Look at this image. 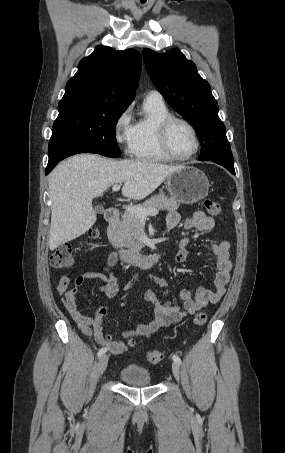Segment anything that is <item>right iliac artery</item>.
<instances>
[{
    "instance_id": "1",
    "label": "right iliac artery",
    "mask_w": 285,
    "mask_h": 453,
    "mask_svg": "<svg viewBox=\"0 0 285 453\" xmlns=\"http://www.w3.org/2000/svg\"><path fill=\"white\" fill-rule=\"evenodd\" d=\"M107 349L105 348H101L99 351H98V356H102L104 353H106Z\"/></svg>"
}]
</instances>
